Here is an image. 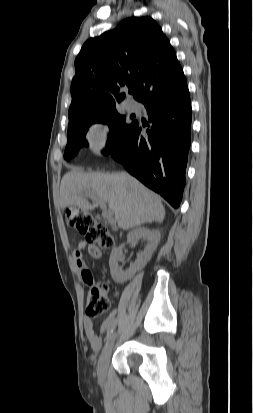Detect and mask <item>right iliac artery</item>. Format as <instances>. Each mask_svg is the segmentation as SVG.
I'll use <instances>...</instances> for the list:
<instances>
[{
    "label": "right iliac artery",
    "mask_w": 253,
    "mask_h": 413,
    "mask_svg": "<svg viewBox=\"0 0 253 413\" xmlns=\"http://www.w3.org/2000/svg\"><path fill=\"white\" fill-rule=\"evenodd\" d=\"M116 324H117V322H115V323L112 325V327L109 329V331H108V333H107V336H106V343H107L108 340L110 339L111 334L113 333V331H114V329H115V327H116Z\"/></svg>",
    "instance_id": "82829eb1"
}]
</instances>
